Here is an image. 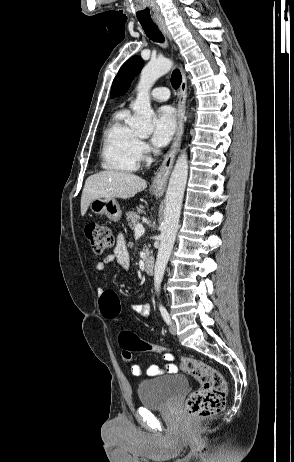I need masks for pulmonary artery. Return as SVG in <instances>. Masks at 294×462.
<instances>
[{
  "instance_id": "obj_1",
  "label": "pulmonary artery",
  "mask_w": 294,
  "mask_h": 462,
  "mask_svg": "<svg viewBox=\"0 0 294 462\" xmlns=\"http://www.w3.org/2000/svg\"><path fill=\"white\" fill-rule=\"evenodd\" d=\"M150 96L157 101H165L170 97V90L166 87H156L150 92Z\"/></svg>"
}]
</instances>
